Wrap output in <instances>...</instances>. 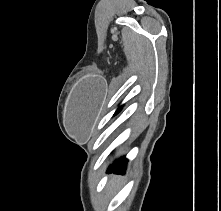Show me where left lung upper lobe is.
Returning a JSON list of instances; mask_svg holds the SVG:
<instances>
[{
  "instance_id": "5c2ea615",
  "label": "left lung upper lobe",
  "mask_w": 221,
  "mask_h": 211,
  "mask_svg": "<svg viewBox=\"0 0 221 211\" xmlns=\"http://www.w3.org/2000/svg\"><path fill=\"white\" fill-rule=\"evenodd\" d=\"M120 110H121V107L116 111V113H118ZM116 113H115V114H116Z\"/></svg>"
}]
</instances>
